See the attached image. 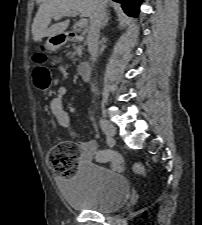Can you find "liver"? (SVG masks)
<instances>
[{
    "instance_id": "obj_1",
    "label": "liver",
    "mask_w": 202,
    "mask_h": 225,
    "mask_svg": "<svg viewBox=\"0 0 202 225\" xmlns=\"http://www.w3.org/2000/svg\"><path fill=\"white\" fill-rule=\"evenodd\" d=\"M97 0H43L32 24V35L35 42L44 37H53L66 30L68 21L54 24L49 27L51 17L54 14H63L69 11H77L83 17H91L94 14ZM104 5L108 0H102Z\"/></svg>"
}]
</instances>
